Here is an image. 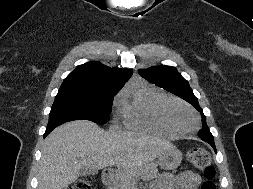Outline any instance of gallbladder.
Returning <instances> with one entry per match:
<instances>
[{"mask_svg": "<svg viewBox=\"0 0 253 189\" xmlns=\"http://www.w3.org/2000/svg\"><path fill=\"white\" fill-rule=\"evenodd\" d=\"M97 173V170L89 168V167H81L79 171V176H85V175H95Z\"/></svg>", "mask_w": 253, "mask_h": 189, "instance_id": "gallbladder-1", "label": "gallbladder"}]
</instances>
